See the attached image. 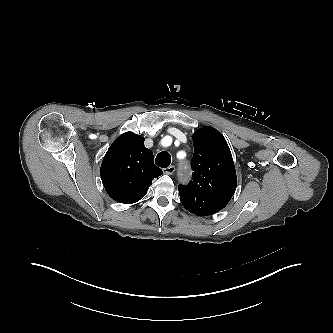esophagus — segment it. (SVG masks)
I'll list each match as a JSON object with an SVG mask.
<instances>
[{"mask_svg":"<svg viewBox=\"0 0 333 333\" xmlns=\"http://www.w3.org/2000/svg\"><path fill=\"white\" fill-rule=\"evenodd\" d=\"M163 172H164L165 174L171 175V174H173V173L175 172V166H174V165H171V166H169V167H167V168H164V169H163Z\"/></svg>","mask_w":333,"mask_h":333,"instance_id":"esophagus-1","label":"esophagus"}]
</instances>
